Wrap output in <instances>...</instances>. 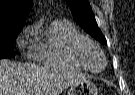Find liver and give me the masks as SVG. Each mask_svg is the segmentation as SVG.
I'll use <instances>...</instances> for the list:
<instances>
[{
	"label": "liver",
	"mask_w": 135,
	"mask_h": 95,
	"mask_svg": "<svg viewBox=\"0 0 135 95\" xmlns=\"http://www.w3.org/2000/svg\"><path fill=\"white\" fill-rule=\"evenodd\" d=\"M87 78L71 71L0 60V95H58Z\"/></svg>",
	"instance_id": "6515ba94"
}]
</instances>
